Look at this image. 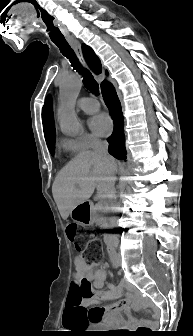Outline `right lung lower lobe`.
Here are the masks:
<instances>
[{
	"mask_svg": "<svg viewBox=\"0 0 193 336\" xmlns=\"http://www.w3.org/2000/svg\"><path fill=\"white\" fill-rule=\"evenodd\" d=\"M101 88L104 101L114 120L113 133L107 140L109 143V153L119 160H126L125 136L123 131L124 120L120 101L111 83L105 81Z\"/></svg>",
	"mask_w": 193,
	"mask_h": 336,
	"instance_id": "1",
	"label": "right lung lower lobe"
}]
</instances>
